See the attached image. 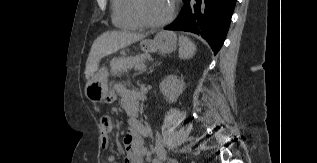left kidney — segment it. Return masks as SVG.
<instances>
[{"instance_id": "5707ae66", "label": "left kidney", "mask_w": 317, "mask_h": 163, "mask_svg": "<svg viewBox=\"0 0 317 163\" xmlns=\"http://www.w3.org/2000/svg\"><path fill=\"white\" fill-rule=\"evenodd\" d=\"M161 93L169 103L176 102L184 90V82L175 75L166 76L159 85Z\"/></svg>"}]
</instances>
